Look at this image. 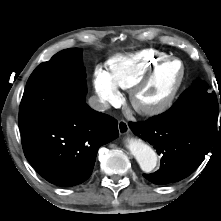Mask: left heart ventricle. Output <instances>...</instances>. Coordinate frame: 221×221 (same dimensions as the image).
<instances>
[{"instance_id":"b2bd125f","label":"left heart ventricle","mask_w":221,"mask_h":221,"mask_svg":"<svg viewBox=\"0 0 221 221\" xmlns=\"http://www.w3.org/2000/svg\"><path fill=\"white\" fill-rule=\"evenodd\" d=\"M182 73L179 62H171L161 67L151 81L138 94L142 105H155L164 101L177 85Z\"/></svg>"}]
</instances>
